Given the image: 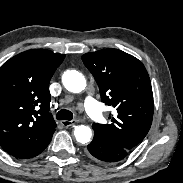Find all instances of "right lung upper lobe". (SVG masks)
<instances>
[{"label": "right lung upper lobe", "instance_id": "cb5924a9", "mask_svg": "<svg viewBox=\"0 0 183 183\" xmlns=\"http://www.w3.org/2000/svg\"><path fill=\"white\" fill-rule=\"evenodd\" d=\"M65 55L33 49L9 59L0 68V146L27 159L50 143L56 123L49 112V82Z\"/></svg>", "mask_w": 183, "mask_h": 183}]
</instances>
